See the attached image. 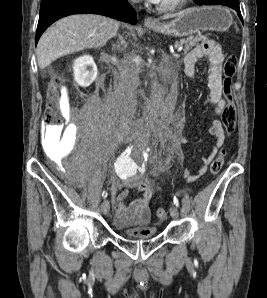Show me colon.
Instances as JSON below:
<instances>
[{
    "instance_id": "5ec220e1",
    "label": "colon",
    "mask_w": 267,
    "mask_h": 298,
    "mask_svg": "<svg viewBox=\"0 0 267 298\" xmlns=\"http://www.w3.org/2000/svg\"><path fill=\"white\" fill-rule=\"evenodd\" d=\"M237 66V59L235 56H229L225 63H224V82H223V90L227 99V107L223 112L222 115V122L223 127L227 133H230L234 130L236 126V111L233 104L231 92H230V86H231V78L235 74ZM59 84V80L57 78H53L50 82V86L52 90H56ZM61 123V117L58 112V103L56 95L53 94L48 107H47V113L45 116V124L47 127H54L58 126ZM224 150H221L217 157L213 160V162L210 165V174L211 175H217L223 166L224 163ZM156 217L159 220H165L167 217V212L164 208H158L156 210Z\"/></svg>"
}]
</instances>
